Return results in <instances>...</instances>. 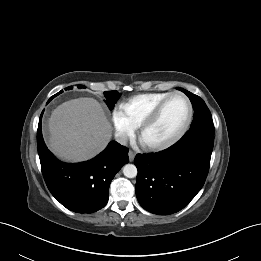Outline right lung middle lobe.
Instances as JSON below:
<instances>
[{
    "label": "right lung middle lobe",
    "mask_w": 261,
    "mask_h": 261,
    "mask_svg": "<svg viewBox=\"0 0 261 261\" xmlns=\"http://www.w3.org/2000/svg\"><path fill=\"white\" fill-rule=\"evenodd\" d=\"M78 87H79V88H85V87L82 86V85H79ZM68 88H70V87H68ZM61 92H63V91L58 92V93H57L56 95H54V96H57V95L60 94ZM104 96L106 97L105 102H106L107 106H108L110 109H112V108L114 107V104H115V103L117 102V100L119 99L120 94H119L117 91H106V92H104Z\"/></svg>",
    "instance_id": "obj_1"
}]
</instances>
